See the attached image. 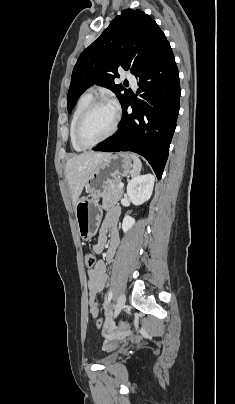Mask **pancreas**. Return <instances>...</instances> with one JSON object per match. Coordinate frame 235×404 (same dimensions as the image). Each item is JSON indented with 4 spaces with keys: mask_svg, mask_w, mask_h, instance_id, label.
Instances as JSON below:
<instances>
[{
    "mask_svg": "<svg viewBox=\"0 0 235 404\" xmlns=\"http://www.w3.org/2000/svg\"><path fill=\"white\" fill-rule=\"evenodd\" d=\"M121 183L120 179H115L111 182H109L103 192V207L106 208L111 204H115L119 201L123 194V189L119 187V184Z\"/></svg>",
    "mask_w": 235,
    "mask_h": 404,
    "instance_id": "1",
    "label": "pancreas"
}]
</instances>
